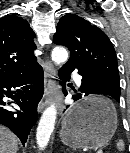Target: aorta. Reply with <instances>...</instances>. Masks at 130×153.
<instances>
[{"mask_svg": "<svg viewBox=\"0 0 130 153\" xmlns=\"http://www.w3.org/2000/svg\"><path fill=\"white\" fill-rule=\"evenodd\" d=\"M51 57L57 64L65 63L68 60V52L65 48L56 47L53 49ZM56 116L57 109L54 104L47 107L41 116L36 132V141L40 149H44L49 142L54 130Z\"/></svg>", "mask_w": 130, "mask_h": 153, "instance_id": "762f6f07", "label": "aorta"}]
</instances>
